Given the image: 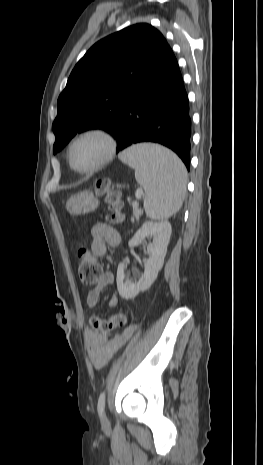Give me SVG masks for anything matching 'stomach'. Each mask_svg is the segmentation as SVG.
<instances>
[{
	"label": "stomach",
	"instance_id": "obj_1",
	"mask_svg": "<svg viewBox=\"0 0 263 465\" xmlns=\"http://www.w3.org/2000/svg\"><path fill=\"white\" fill-rule=\"evenodd\" d=\"M100 202L93 191L86 190L71 196L66 202V209L71 215H81L93 212Z\"/></svg>",
	"mask_w": 263,
	"mask_h": 465
}]
</instances>
